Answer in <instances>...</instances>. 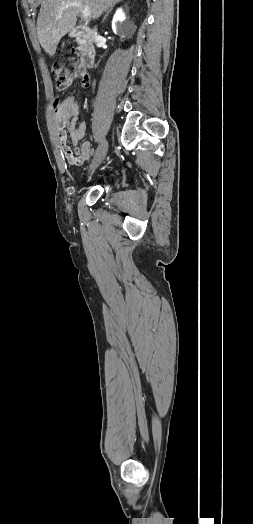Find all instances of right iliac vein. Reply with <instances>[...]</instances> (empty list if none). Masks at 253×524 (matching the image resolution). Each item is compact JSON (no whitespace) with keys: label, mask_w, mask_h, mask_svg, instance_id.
I'll return each mask as SVG.
<instances>
[{"label":"right iliac vein","mask_w":253,"mask_h":524,"mask_svg":"<svg viewBox=\"0 0 253 524\" xmlns=\"http://www.w3.org/2000/svg\"><path fill=\"white\" fill-rule=\"evenodd\" d=\"M107 150H108V142L106 139H104L101 141L100 145L98 146L96 150L94 159L90 165L91 171H94L95 169L99 167V165L102 163V161L104 160L107 154Z\"/></svg>","instance_id":"1"}]
</instances>
